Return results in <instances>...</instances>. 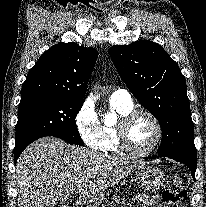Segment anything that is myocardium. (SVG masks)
<instances>
[{"label": "myocardium", "instance_id": "f54148a6", "mask_svg": "<svg viewBox=\"0 0 206 207\" xmlns=\"http://www.w3.org/2000/svg\"><path fill=\"white\" fill-rule=\"evenodd\" d=\"M142 116H145L151 120V122L153 123L155 127L156 134H155L154 141L149 146V148L143 151H137L130 146L128 136H127V131L131 123L135 119L142 117ZM116 134H117V140H118L120 151L132 157H146L150 155L151 153H153L157 149L159 144L161 143V140L163 137V128L158 118L150 111L132 110L125 116L121 117L120 121L116 125Z\"/></svg>", "mask_w": 206, "mask_h": 207}]
</instances>
